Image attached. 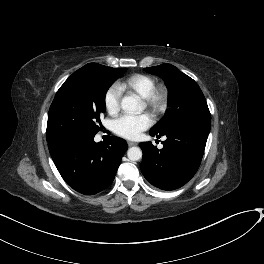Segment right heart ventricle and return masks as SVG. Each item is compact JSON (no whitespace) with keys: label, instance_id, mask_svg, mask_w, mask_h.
Returning a JSON list of instances; mask_svg holds the SVG:
<instances>
[{"label":"right heart ventricle","instance_id":"obj_1","mask_svg":"<svg viewBox=\"0 0 264 264\" xmlns=\"http://www.w3.org/2000/svg\"><path fill=\"white\" fill-rule=\"evenodd\" d=\"M156 87L153 77L145 74H134L119 83V88L133 92L141 98L147 97Z\"/></svg>","mask_w":264,"mask_h":264}]
</instances>
